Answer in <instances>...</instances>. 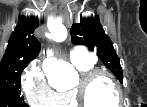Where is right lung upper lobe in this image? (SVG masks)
<instances>
[{
    "instance_id": "1",
    "label": "right lung upper lobe",
    "mask_w": 147,
    "mask_h": 107,
    "mask_svg": "<svg viewBox=\"0 0 147 107\" xmlns=\"http://www.w3.org/2000/svg\"><path fill=\"white\" fill-rule=\"evenodd\" d=\"M38 25L35 18H19L1 60L0 76L18 71L38 56L40 43L33 35Z\"/></svg>"
}]
</instances>
